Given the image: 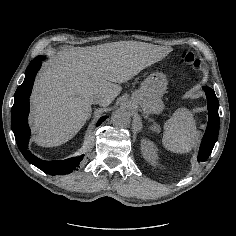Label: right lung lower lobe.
<instances>
[{
  "instance_id": "right-lung-lower-lobe-1",
  "label": "right lung lower lobe",
  "mask_w": 236,
  "mask_h": 236,
  "mask_svg": "<svg viewBox=\"0 0 236 236\" xmlns=\"http://www.w3.org/2000/svg\"><path fill=\"white\" fill-rule=\"evenodd\" d=\"M42 60H44V57L37 56L31 61L30 65L26 69L23 83L15 92V100L11 112V127L18 148L29 163L38 167L47 174L65 175L71 173L73 170H78V166L82 161L83 156L65 160L44 161L38 159L28 150V140L30 138V128L27 120L29 114V97L32 91L35 75L41 66ZM105 119L106 117H102L99 120L98 125H100Z\"/></svg>"
}]
</instances>
